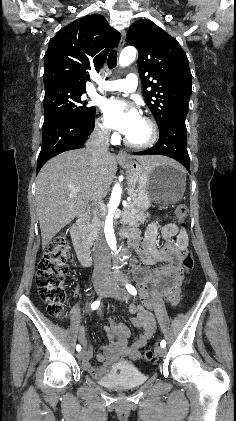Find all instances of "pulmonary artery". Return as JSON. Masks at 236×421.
<instances>
[{"label": "pulmonary artery", "instance_id": "1", "mask_svg": "<svg viewBox=\"0 0 236 421\" xmlns=\"http://www.w3.org/2000/svg\"><path fill=\"white\" fill-rule=\"evenodd\" d=\"M138 84V78L135 74H128L123 79H117L114 81H108L103 86L102 89L106 91H121V92H131L134 91Z\"/></svg>", "mask_w": 236, "mask_h": 421}]
</instances>
